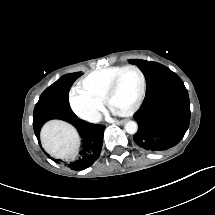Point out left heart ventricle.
I'll use <instances>...</instances> for the list:
<instances>
[{"label":"left heart ventricle","mask_w":215,"mask_h":215,"mask_svg":"<svg viewBox=\"0 0 215 215\" xmlns=\"http://www.w3.org/2000/svg\"><path fill=\"white\" fill-rule=\"evenodd\" d=\"M120 87L110 95V102L116 107H128L134 97L137 77L131 71L122 72Z\"/></svg>","instance_id":"obj_1"}]
</instances>
